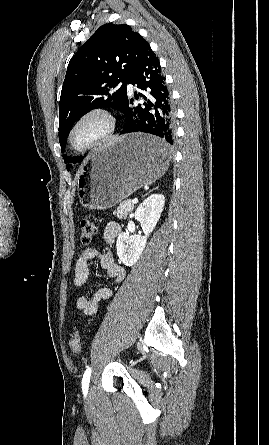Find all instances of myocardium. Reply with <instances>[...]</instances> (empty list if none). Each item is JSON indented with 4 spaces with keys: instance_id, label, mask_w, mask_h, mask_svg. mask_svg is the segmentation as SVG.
<instances>
[{
    "instance_id": "1",
    "label": "myocardium",
    "mask_w": 269,
    "mask_h": 445,
    "mask_svg": "<svg viewBox=\"0 0 269 445\" xmlns=\"http://www.w3.org/2000/svg\"><path fill=\"white\" fill-rule=\"evenodd\" d=\"M91 121L99 122V131L87 141L79 143L77 141L78 133L85 124ZM116 127L117 120L109 110L101 107L89 109L79 115L70 127L67 136L68 146L75 153H86L110 138Z\"/></svg>"
}]
</instances>
